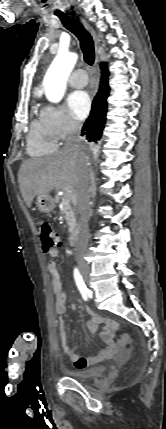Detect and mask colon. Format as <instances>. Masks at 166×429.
Returning a JSON list of instances; mask_svg holds the SVG:
<instances>
[{
  "label": "colon",
  "instance_id": "1",
  "mask_svg": "<svg viewBox=\"0 0 166 429\" xmlns=\"http://www.w3.org/2000/svg\"><path fill=\"white\" fill-rule=\"evenodd\" d=\"M39 233L42 241V248L45 252L57 248L61 244L60 236L53 230L47 221L39 223ZM130 341V336L124 333L120 336L118 343L120 346L125 347Z\"/></svg>",
  "mask_w": 166,
  "mask_h": 429
}]
</instances>
